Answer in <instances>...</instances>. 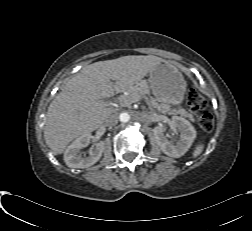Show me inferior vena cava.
Masks as SVG:
<instances>
[{"instance_id": "602c4592", "label": "inferior vena cava", "mask_w": 252, "mask_h": 231, "mask_svg": "<svg viewBox=\"0 0 252 231\" xmlns=\"http://www.w3.org/2000/svg\"><path fill=\"white\" fill-rule=\"evenodd\" d=\"M118 115L117 113L110 114L104 120L106 126H114L118 123Z\"/></svg>"}]
</instances>
